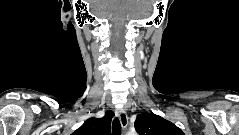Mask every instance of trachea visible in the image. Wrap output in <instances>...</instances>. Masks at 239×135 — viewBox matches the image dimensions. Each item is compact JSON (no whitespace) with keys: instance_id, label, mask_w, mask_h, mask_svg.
<instances>
[{"instance_id":"trachea-1","label":"trachea","mask_w":239,"mask_h":135,"mask_svg":"<svg viewBox=\"0 0 239 135\" xmlns=\"http://www.w3.org/2000/svg\"><path fill=\"white\" fill-rule=\"evenodd\" d=\"M112 133H113V135L121 134V124H120L118 118H115L112 122Z\"/></svg>"}]
</instances>
